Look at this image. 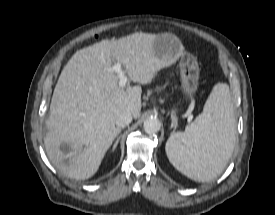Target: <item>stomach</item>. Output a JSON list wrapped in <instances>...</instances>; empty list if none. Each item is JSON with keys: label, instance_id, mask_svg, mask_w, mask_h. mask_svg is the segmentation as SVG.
<instances>
[{"label": "stomach", "instance_id": "stomach-1", "mask_svg": "<svg viewBox=\"0 0 275 215\" xmlns=\"http://www.w3.org/2000/svg\"><path fill=\"white\" fill-rule=\"evenodd\" d=\"M180 40L170 33H162L157 36L153 43V49L160 58L168 57L175 59L178 55L180 60L181 89L186 99L193 96L198 87L199 65L196 58L190 54L181 52Z\"/></svg>", "mask_w": 275, "mask_h": 215}]
</instances>
